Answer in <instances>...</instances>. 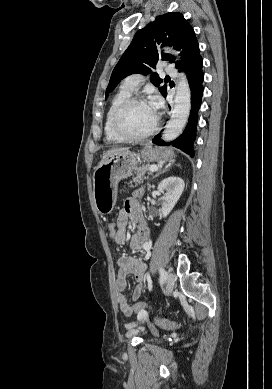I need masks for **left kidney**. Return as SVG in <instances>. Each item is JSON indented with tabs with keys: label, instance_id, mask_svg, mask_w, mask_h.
Instances as JSON below:
<instances>
[{
	"label": "left kidney",
	"instance_id": "5707ae66",
	"mask_svg": "<svg viewBox=\"0 0 272 389\" xmlns=\"http://www.w3.org/2000/svg\"><path fill=\"white\" fill-rule=\"evenodd\" d=\"M184 186L185 184L183 179L174 176L165 178L158 185V191L160 193H164V191H166L163 196V204L161 208V212L164 217H166L171 212L179 200L183 193Z\"/></svg>",
	"mask_w": 272,
	"mask_h": 389
}]
</instances>
